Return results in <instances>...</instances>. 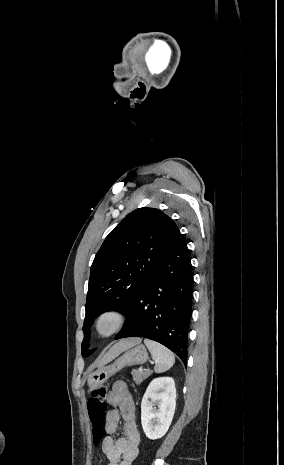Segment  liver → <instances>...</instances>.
Listing matches in <instances>:
<instances>
[{
	"label": "liver",
	"mask_w": 284,
	"mask_h": 465,
	"mask_svg": "<svg viewBox=\"0 0 284 465\" xmlns=\"http://www.w3.org/2000/svg\"><path fill=\"white\" fill-rule=\"evenodd\" d=\"M139 343H141V339H124V341L122 339L119 343H115V345L109 349L108 353L104 355L103 359H101L98 367H104V365L113 361L115 357H118L120 353L127 351V349H131V347H135V345H139Z\"/></svg>",
	"instance_id": "1"
}]
</instances>
